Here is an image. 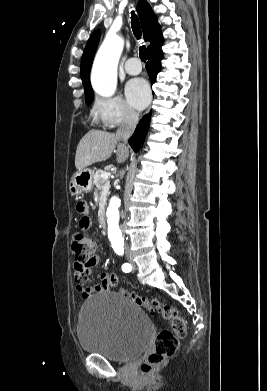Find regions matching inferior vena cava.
Listing matches in <instances>:
<instances>
[{
	"label": "inferior vena cava",
	"instance_id": "inferior-vena-cava-1",
	"mask_svg": "<svg viewBox=\"0 0 267 391\" xmlns=\"http://www.w3.org/2000/svg\"><path fill=\"white\" fill-rule=\"evenodd\" d=\"M139 120L138 113L130 110L126 113L125 118L122 122V124L119 126V128L116 131V137L123 142V147L128 150L126 144L128 142V139L133 134L136 125Z\"/></svg>",
	"mask_w": 267,
	"mask_h": 391
}]
</instances>
